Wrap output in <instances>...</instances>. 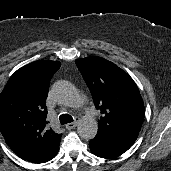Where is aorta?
<instances>
[{"mask_svg": "<svg viewBox=\"0 0 171 171\" xmlns=\"http://www.w3.org/2000/svg\"><path fill=\"white\" fill-rule=\"evenodd\" d=\"M54 95L56 100L69 107H77L80 103V97L75 88L68 82H59L54 86ZM98 131L97 121L92 117H83L79 120L77 132L85 140L93 139Z\"/></svg>", "mask_w": 171, "mask_h": 171, "instance_id": "aorta-1", "label": "aorta"}]
</instances>
